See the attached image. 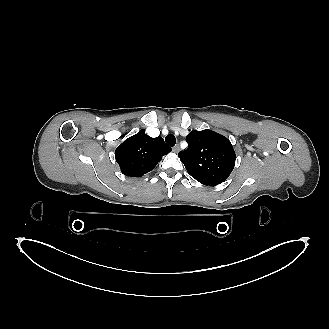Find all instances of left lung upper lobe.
I'll list each match as a JSON object with an SVG mask.
<instances>
[{"label": "left lung upper lobe", "mask_w": 329, "mask_h": 329, "mask_svg": "<svg viewBox=\"0 0 329 329\" xmlns=\"http://www.w3.org/2000/svg\"><path fill=\"white\" fill-rule=\"evenodd\" d=\"M186 140L188 148L178 156L193 178L209 186L228 178L235 165V152L226 137L211 130H193Z\"/></svg>", "instance_id": "obj_1"}]
</instances>
